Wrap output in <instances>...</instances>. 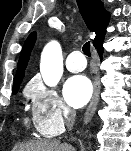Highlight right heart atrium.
Masks as SVG:
<instances>
[{
  "mask_svg": "<svg viewBox=\"0 0 131 151\" xmlns=\"http://www.w3.org/2000/svg\"><path fill=\"white\" fill-rule=\"evenodd\" d=\"M32 100L34 124L38 132L45 137L59 135L72 119V111L64 104L58 92L34 81L28 88Z\"/></svg>",
  "mask_w": 131,
  "mask_h": 151,
  "instance_id": "obj_1",
  "label": "right heart atrium"
}]
</instances>
